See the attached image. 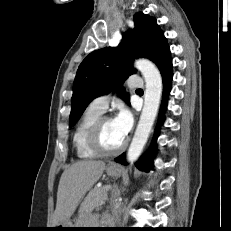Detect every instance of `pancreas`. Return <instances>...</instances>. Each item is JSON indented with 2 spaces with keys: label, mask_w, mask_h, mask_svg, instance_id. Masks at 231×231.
Instances as JSON below:
<instances>
[{
  "label": "pancreas",
  "mask_w": 231,
  "mask_h": 231,
  "mask_svg": "<svg viewBox=\"0 0 231 231\" xmlns=\"http://www.w3.org/2000/svg\"><path fill=\"white\" fill-rule=\"evenodd\" d=\"M108 200L107 190L106 186H103L101 188H95L90 192V194L87 197V204L90 207H98L105 203V201ZM83 220V223L90 222V217L81 218Z\"/></svg>",
  "instance_id": "1"
}]
</instances>
